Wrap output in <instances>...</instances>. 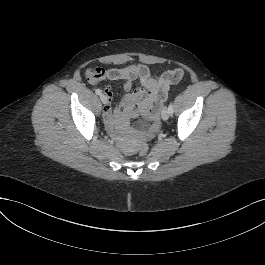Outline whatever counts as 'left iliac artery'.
Instances as JSON below:
<instances>
[{
	"instance_id": "obj_1",
	"label": "left iliac artery",
	"mask_w": 265,
	"mask_h": 265,
	"mask_svg": "<svg viewBox=\"0 0 265 265\" xmlns=\"http://www.w3.org/2000/svg\"><path fill=\"white\" fill-rule=\"evenodd\" d=\"M168 111H169V114L172 115L173 114V104L172 102L169 104L168 106Z\"/></svg>"
}]
</instances>
